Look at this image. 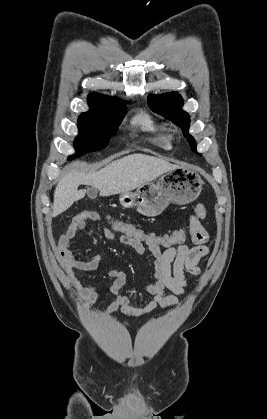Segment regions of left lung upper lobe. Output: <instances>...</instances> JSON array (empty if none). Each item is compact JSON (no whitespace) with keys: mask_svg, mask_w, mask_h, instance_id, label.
<instances>
[{"mask_svg":"<svg viewBox=\"0 0 267 419\" xmlns=\"http://www.w3.org/2000/svg\"><path fill=\"white\" fill-rule=\"evenodd\" d=\"M148 105L154 112L163 115L165 118L180 126L184 136L190 144L191 150L196 152L195 140L188 134L190 116L187 112L182 110L183 99L177 92H170L157 96L150 95L148 97Z\"/></svg>","mask_w":267,"mask_h":419,"instance_id":"5c2ea615","label":"left lung upper lobe"}]
</instances>
